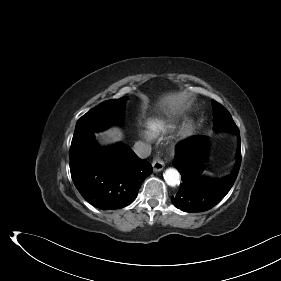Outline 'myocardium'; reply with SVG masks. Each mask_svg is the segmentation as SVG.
Masks as SVG:
<instances>
[{
	"mask_svg": "<svg viewBox=\"0 0 281 281\" xmlns=\"http://www.w3.org/2000/svg\"><path fill=\"white\" fill-rule=\"evenodd\" d=\"M194 131V125L192 122H188L180 131V138L187 139L192 136Z\"/></svg>",
	"mask_w": 281,
	"mask_h": 281,
	"instance_id": "myocardium-1",
	"label": "myocardium"
}]
</instances>
